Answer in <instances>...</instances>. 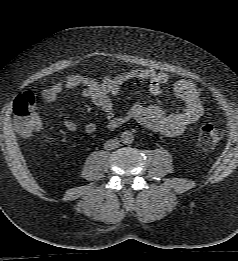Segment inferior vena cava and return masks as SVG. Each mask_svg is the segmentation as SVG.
Segmentation results:
<instances>
[{
    "label": "inferior vena cava",
    "instance_id": "602c4592",
    "mask_svg": "<svg viewBox=\"0 0 238 261\" xmlns=\"http://www.w3.org/2000/svg\"><path fill=\"white\" fill-rule=\"evenodd\" d=\"M119 146V141L117 139H110L108 141L105 142L104 144V148L107 150H113L118 148Z\"/></svg>",
    "mask_w": 238,
    "mask_h": 261
}]
</instances>
